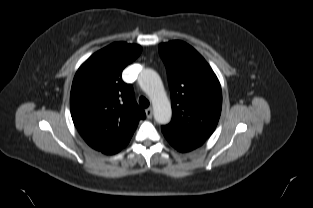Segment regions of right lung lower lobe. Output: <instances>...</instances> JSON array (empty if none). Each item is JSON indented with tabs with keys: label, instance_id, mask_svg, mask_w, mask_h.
I'll return each mask as SVG.
<instances>
[{
	"label": "right lung lower lobe",
	"instance_id": "1",
	"mask_svg": "<svg viewBox=\"0 0 313 208\" xmlns=\"http://www.w3.org/2000/svg\"><path fill=\"white\" fill-rule=\"evenodd\" d=\"M92 148L101 151L104 154H115L124 148L128 141L123 142H106L100 140H87L86 141Z\"/></svg>",
	"mask_w": 313,
	"mask_h": 208
}]
</instances>
